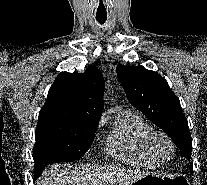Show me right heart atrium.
<instances>
[{
    "mask_svg": "<svg viewBox=\"0 0 207 185\" xmlns=\"http://www.w3.org/2000/svg\"><path fill=\"white\" fill-rule=\"evenodd\" d=\"M108 120V115L107 114H104L101 119H100V124L103 125L107 122Z\"/></svg>",
    "mask_w": 207,
    "mask_h": 185,
    "instance_id": "d8ad5b80",
    "label": "right heart atrium"
}]
</instances>
